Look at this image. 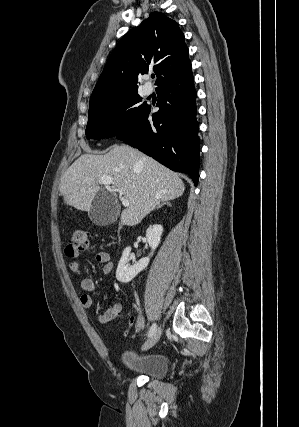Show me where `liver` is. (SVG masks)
Returning <instances> with one entry per match:
<instances>
[{
    "mask_svg": "<svg viewBox=\"0 0 299 427\" xmlns=\"http://www.w3.org/2000/svg\"><path fill=\"white\" fill-rule=\"evenodd\" d=\"M102 178H110L129 206L121 222L139 224L160 201L183 195L185 186L177 173L126 145H116L105 155L83 154L64 173L59 188L64 203L89 211Z\"/></svg>",
    "mask_w": 299,
    "mask_h": 427,
    "instance_id": "liver-1",
    "label": "liver"
}]
</instances>
